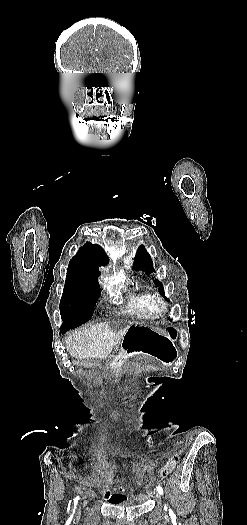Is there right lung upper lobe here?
Masks as SVG:
<instances>
[{"label":"right lung upper lobe","instance_id":"obj_1","mask_svg":"<svg viewBox=\"0 0 247 525\" xmlns=\"http://www.w3.org/2000/svg\"><path fill=\"white\" fill-rule=\"evenodd\" d=\"M108 262L109 259L102 247L87 242L70 260L67 272L87 273L99 276L100 271L98 268L107 265Z\"/></svg>","mask_w":247,"mask_h":525}]
</instances>
